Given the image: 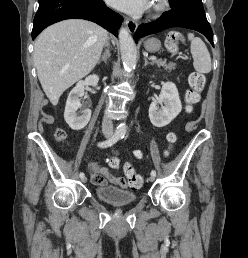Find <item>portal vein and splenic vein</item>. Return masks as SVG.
Returning a JSON list of instances; mask_svg holds the SVG:
<instances>
[{"label":"portal vein and splenic vein","mask_w":248,"mask_h":258,"mask_svg":"<svg viewBox=\"0 0 248 258\" xmlns=\"http://www.w3.org/2000/svg\"><path fill=\"white\" fill-rule=\"evenodd\" d=\"M149 59L152 60V61H154V60H156L157 58H156L155 56H151Z\"/></svg>","instance_id":"1"}]
</instances>
